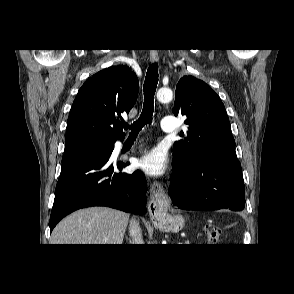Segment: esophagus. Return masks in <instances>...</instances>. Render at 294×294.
Returning <instances> with one entry per match:
<instances>
[{
  "mask_svg": "<svg viewBox=\"0 0 294 294\" xmlns=\"http://www.w3.org/2000/svg\"><path fill=\"white\" fill-rule=\"evenodd\" d=\"M150 61L157 63L159 55L156 50L150 52ZM170 205V200L166 194L162 184L159 181H153L150 187V201L148 204L149 216L152 222L158 221L163 218Z\"/></svg>",
  "mask_w": 294,
  "mask_h": 294,
  "instance_id": "esophagus-1",
  "label": "esophagus"
}]
</instances>
